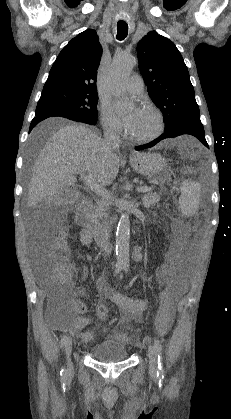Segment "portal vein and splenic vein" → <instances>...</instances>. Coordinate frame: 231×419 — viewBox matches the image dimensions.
I'll return each instance as SVG.
<instances>
[{"instance_id":"portal-vein-and-splenic-vein-1","label":"portal vein and splenic vein","mask_w":231,"mask_h":419,"mask_svg":"<svg viewBox=\"0 0 231 419\" xmlns=\"http://www.w3.org/2000/svg\"><path fill=\"white\" fill-rule=\"evenodd\" d=\"M80 175V178L83 180V182L86 184V186H88L93 192H95L96 194L104 197V198H109L110 197V193L101 185H99L93 178L91 175L79 172L78 173ZM148 190V188L146 186H140L137 188L138 192H146Z\"/></svg>"}]
</instances>
